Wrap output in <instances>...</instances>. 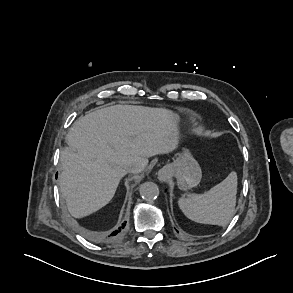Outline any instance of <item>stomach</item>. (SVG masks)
<instances>
[{"label": "stomach", "instance_id": "1", "mask_svg": "<svg viewBox=\"0 0 293 293\" xmlns=\"http://www.w3.org/2000/svg\"><path fill=\"white\" fill-rule=\"evenodd\" d=\"M169 175L177 179V185L181 190H188L199 184L202 178L200 165L188 149H184L172 164L166 166Z\"/></svg>", "mask_w": 293, "mask_h": 293}]
</instances>
